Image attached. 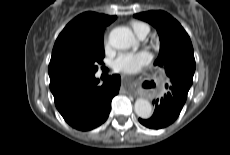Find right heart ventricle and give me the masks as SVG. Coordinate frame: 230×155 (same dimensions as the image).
Masks as SVG:
<instances>
[{"label":"right heart ventricle","instance_id":"right-heart-ventricle-1","mask_svg":"<svg viewBox=\"0 0 230 155\" xmlns=\"http://www.w3.org/2000/svg\"><path fill=\"white\" fill-rule=\"evenodd\" d=\"M134 32L140 37L144 33H149V26L146 23L140 21H134L131 23Z\"/></svg>","mask_w":230,"mask_h":155}]
</instances>
